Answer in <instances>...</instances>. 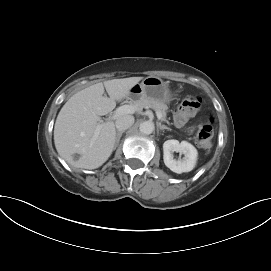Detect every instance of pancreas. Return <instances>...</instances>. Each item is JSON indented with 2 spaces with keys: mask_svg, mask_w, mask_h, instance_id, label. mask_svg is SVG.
<instances>
[{
  "mask_svg": "<svg viewBox=\"0 0 271 271\" xmlns=\"http://www.w3.org/2000/svg\"><path fill=\"white\" fill-rule=\"evenodd\" d=\"M131 103L135 106H137V108L140 110L142 108H152L154 109L156 112H161L162 114V120H166V110H167V106L159 101L153 100V99H148V98H141L135 101H131Z\"/></svg>",
  "mask_w": 271,
  "mask_h": 271,
  "instance_id": "pancreas-1",
  "label": "pancreas"
}]
</instances>
